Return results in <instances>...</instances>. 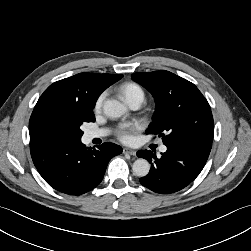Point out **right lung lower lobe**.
I'll use <instances>...</instances> for the list:
<instances>
[{"label": "right lung lower lobe", "instance_id": "right-lung-lower-lobe-1", "mask_svg": "<svg viewBox=\"0 0 251 251\" xmlns=\"http://www.w3.org/2000/svg\"><path fill=\"white\" fill-rule=\"evenodd\" d=\"M31 157L40 175L54 189L70 195L84 194L103 179L110 159L122 148L106 142L97 149L79 140L31 141Z\"/></svg>", "mask_w": 251, "mask_h": 251}]
</instances>
